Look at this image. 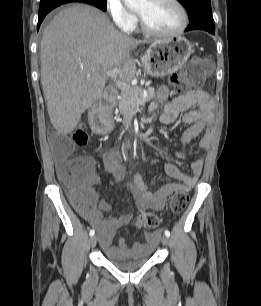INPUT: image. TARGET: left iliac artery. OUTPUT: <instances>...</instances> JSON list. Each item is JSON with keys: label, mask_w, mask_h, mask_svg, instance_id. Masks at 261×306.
Here are the masks:
<instances>
[{"label": "left iliac artery", "mask_w": 261, "mask_h": 306, "mask_svg": "<svg viewBox=\"0 0 261 306\" xmlns=\"http://www.w3.org/2000/svg\"><path fill=\"white\" fill-rule=\"evenodd\" d=\"M165 235H166L167 237H170V232H169L168 230H165Z\"/></svg>", "instance_id": "44dca946"}]
</instances>
